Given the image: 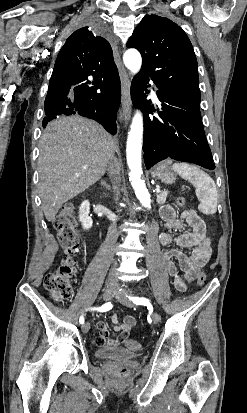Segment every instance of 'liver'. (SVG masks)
I'll return each instance as SVG.
<instances>
[{
  "mask_svg": "<svg viewBox=\"0 0 247 413\" xmlns=\"http://www.w3.org/2000/svg\"><path fill=\"white\" fill-rule=\"evenodd\" d=\"M115 140L101 124L79 114L48 122L40 138L39 194L47 221L62 204L107 170Z\"/></svg>",
  "mask_w": 247,
  "mask_h": 413,
  "instance_id": "6515ba94",
  "label": "liver"
}]
</instances>
